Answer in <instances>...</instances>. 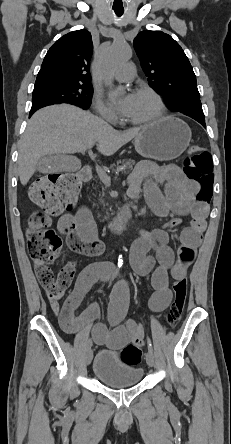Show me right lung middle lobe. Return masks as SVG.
<instances>
[{
  "label": "right lung middle lobe",
  "mask_w": 231,
  "mask_h": 444,
  "mask_svg": "<svg viewBox=\"0 0 231 444\" xmlns=\"http://www.w3.org/2000/svg\"><path fill=\"white\" fill-rule=\"evenodd\" d=\"M92 93V86L83 84L52 83L35 86L31 109L60 103H70L88 109Z\"/></svg>",
  "instance_id": "obj_1"
}]
</instances>
